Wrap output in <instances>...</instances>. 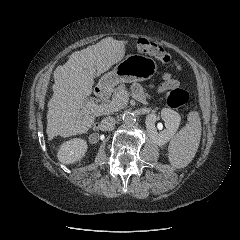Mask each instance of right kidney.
<instances>
[{"label":"right kidney","instance_id":"obj_1","mask_svg":"<svg viewBox=\"0 0 240 240\" xmlns=\"http://www.w3.org/2000/svg\"><path fill=\"white\" fill-rule=\"evenodd\" d=\"M87 147V142L84 139L74 138L68 140L60 146L57 158L63 164H72L85 155Z\"/></svg>","mask_w":240,"mask_h":240}]
</instances>
